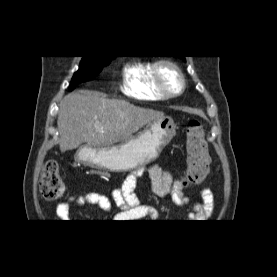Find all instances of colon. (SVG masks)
Masks as SVG:
<instances>
[{
  "label": "colon",
  "mask_w": 277,
  "mask_h": 277,
  "mask_svg": "<svg viewBox=\"0 0 277 277\" xmlns=\"http://www.w3.org/2000/svg\"><path fill=\"white\" fill-rule=\"evenodd\" d=\"M186 153L185 181L190 184H198L208 175L210 162L205 130L199 120L193 119L187 125ZM65 190L58 163L48 161L40 177L41 195L46 200L55 201L64 196Z\"/></svg>",
  "instance_id": "obj_1"
}]
</instances>
